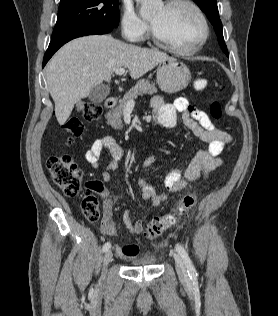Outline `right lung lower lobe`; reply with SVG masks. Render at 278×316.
<instances>
[{"label":"right lung lower lobe","mask_w":278,"mask_h":316,"mask_svg":"<svg viewBox=\"0 0 278 316\" xmlns=\"http://www.w3.org/2000/svg\"><path fill=\"white\" fill-rule=\"evenodd\" d=\"M114 27H93V28H86V29H81L77 30L71 33H68L66 35H63L59 38L52 39L49 47L44 55L43 59V67L45 64L48 62V60L52 57V55L65 43L68 41L81 37V36H86V35H100V34H106L112 31Z\"/></svg>","instance_id":"1"}]
</instances>
